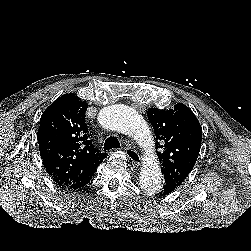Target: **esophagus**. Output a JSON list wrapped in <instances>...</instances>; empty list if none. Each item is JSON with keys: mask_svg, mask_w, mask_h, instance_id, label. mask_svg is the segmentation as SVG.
I'll return each instance as SVG.
<instances>
[{"mask_svg": "<svg viewBox=\"0 0 251 251\" xmlns=\"http://www.w3.org/2000/svg\"><path fill=\"white\" fill-rule=\"evenodd\" d=\"M125 153L127 157L129 158V160L134 165L140 164V155L136 150L132 149L131 147H125Z\"/></svg>", "mask_w": 251, "mask_h": 251, "instance_id": "1", "label": "esophagus"}]
</instances>
